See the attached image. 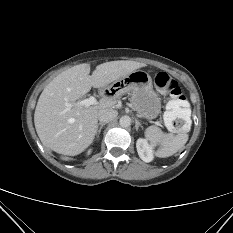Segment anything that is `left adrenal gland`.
Listing matches in <instances>:
<instances>
[{
    "instance_id": "left-adrenal-gland-1",
    "label": "left adrenal gland",
    "mask_w": 233,
    "mask_h": 233,
    "mask_svg": "<svg viewBox=\"0 0 233 233\" xmlns=\"http://www.w3.org/2000/svg\"><path fill=\"white\" fill-rule=\"evenodd\" d=\"M139 127L143 128L137 119H135V129L138 131Z\"/></svg>"
}]
</instances>
